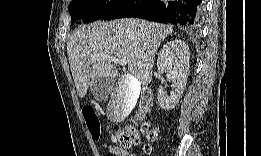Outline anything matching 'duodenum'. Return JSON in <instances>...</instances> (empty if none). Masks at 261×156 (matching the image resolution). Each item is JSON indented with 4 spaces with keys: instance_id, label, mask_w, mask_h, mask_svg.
<instances>
[{
    "instance_id": "obj_1",
    "label": "duodenum",
    "mask_w": 261,
    "mask_h": 156,
    "mask_svg": "<svg viewBox=\"0 0 261 156\" xmlns=\"http://www.w3.org/2000/svg\"><path fill=\"white\" fill-rule=\"evenodd\" d=\"M152 98L153 97H152L151 92L146 91L144 94L143 102H142V109L144 110V112H146L147 110L150 109Z\"/></svg>"
}]
</instances>
